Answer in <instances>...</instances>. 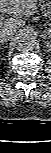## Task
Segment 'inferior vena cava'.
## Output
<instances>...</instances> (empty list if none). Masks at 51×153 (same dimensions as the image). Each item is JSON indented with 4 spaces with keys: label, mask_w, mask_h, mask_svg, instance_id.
<instances>
[{
    "label": "inferior vena cava",
    "mask_w": 51,
    "mask_h": 153,
    "mask_svg": "<svg viewBox=\"0 0 51 153\" xmlns=\"http://www.w3.org/2000/svg\"><path fill=\"white\" fill-rule=\"evenodd\" d=\"M16 32L15 27L2 25L0 27V38L1 40H9L13 37Z\"/></svg>",
    "instance_id": "obj_1"
}]
</instances>
